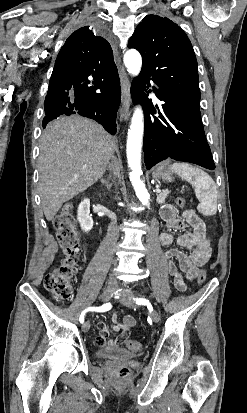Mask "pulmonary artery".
I'll use <instances>...</instances> for the list:
<instances>
[{"mask_svg":"<svg viewBox=\"0 0 247 413\" xmlns=\"http://www.w3.org/2000/svg\"><path fill=\"white\" fill-rule=\"evenodd\" d=\"M152 97H153L154 99H156V97H155V95H154V94H152Z\"/></svg>","mask_w":247,"mask_h":413,"instance_id":"1","label":"pulmonary artery"}]
</instances>
